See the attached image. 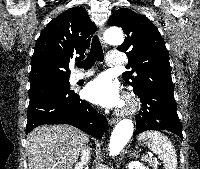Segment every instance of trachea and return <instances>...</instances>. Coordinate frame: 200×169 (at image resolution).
Listing matches in <instances>:
<instances>
[{
    "mask_svg": "<svg viewBox=\"0 0 200 169\" xmlns=\"http://www.w3.org/2000/svg\"><path fill=\"white\" fill-rule=\"evenodd\" d=\"M104 55L103 50L97 35L92 39L91 49L87 58L83 61L76 63V66L79 68H84L85 70L90 69L96 61H103Z\"/></svg>",
    "mask_w": 200,
    "mask_h": 169,
    "instance_id": "trachea-1",
    "label": "trachea"
}]
</instances>
